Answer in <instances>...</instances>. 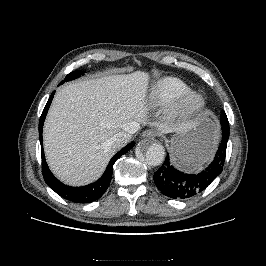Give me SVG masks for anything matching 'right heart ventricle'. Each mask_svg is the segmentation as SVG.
<instances>
[{
  "mask_svg": "<svg viewBox=\"0 0 266 266\" xmlns=\"http://www.w3.org/2000/svg\"><path fill=\"white\" fill-rule=\"evenodd\" d=\"M190 88L183 80L164 76L158 78L150 91L149 105L151 108H162L174 102L180 95Z\"/></svg>",
  "mask_w": 266,
  "mask_h": 266,
  "instance_id": "obj_1",
  "label": "right heart ventricle"
}]
</instances>
